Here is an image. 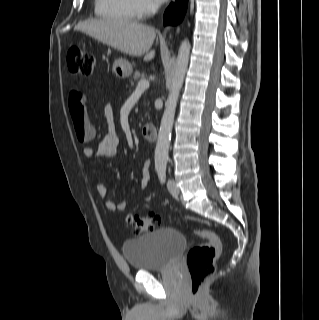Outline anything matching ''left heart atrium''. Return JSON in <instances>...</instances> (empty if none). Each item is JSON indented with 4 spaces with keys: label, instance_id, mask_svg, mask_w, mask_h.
I'll list each match as a JSON object with an SVG mask.
<instances>
[{
    "label": "left heart atrium",
    "instance_id": "obj_1",
    "mask_svg": "<svg viewBox=\"0 0 319 320\" xmlns=\"http://www.w3.org/2000/svg\"><path fill=\"white\" fill-rule=\"evenodd\" d=\"M160 2H165V1H167V0H159Z\"/></svg>",
    "mask_w": 319,
    "mask_h": 320
}]
</instances>
